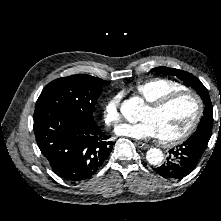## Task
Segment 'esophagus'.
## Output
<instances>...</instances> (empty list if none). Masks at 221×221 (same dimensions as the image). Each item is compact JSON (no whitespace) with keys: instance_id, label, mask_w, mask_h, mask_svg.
Returning a JSON list of instances; mask_svg holds the SVG:
<instances>
[{"instance_id":"34e87169","label":"esophagus","mask_w":221,"mask_h":221,"mask_svg":"<svg viewBox=\"0 0 221 221\" xmlns=\"http://www.w3.org/2000/svg\"><path fill=\"white\" fill-rule=\"evenodd\" d=\"M136 145L140 149H147V148H149L148 144H145V143H142V142H137Z\"/></svg>"}]
</instances>
